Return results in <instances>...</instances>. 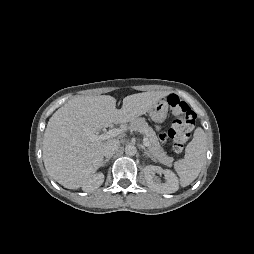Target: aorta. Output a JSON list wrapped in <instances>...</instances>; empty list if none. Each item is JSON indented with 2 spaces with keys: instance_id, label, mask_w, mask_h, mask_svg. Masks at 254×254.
Segmentation results:
<instances>
[{
  "instance_id": "aorta-1",
  "label": "aorta",
  "mask_w": 254,
  "mask_h": 254,
  "mask_svg": "<svg viewBox=\"0 0 254 254\" xmlns=\"http://www.w3.org/2000/svg\"><path fill=\"white\" fill-rule=\"evenodd\" d=\"M136 152H137V149L134 145L130 144L125 147V153L128 156H134L136 154Z\"/></svg>"
}]
</instances>
